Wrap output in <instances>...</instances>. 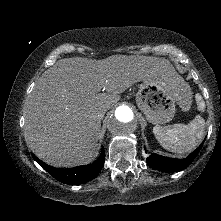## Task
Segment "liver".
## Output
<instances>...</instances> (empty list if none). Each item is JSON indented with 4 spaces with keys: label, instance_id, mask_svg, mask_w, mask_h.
<instances>
[{
    "label": "liver",
    "instance_id": "6515ba94",
    "mask_svg": "<svg viewBox=\"0 0 221 221\" xmlns=\"http://www.w3.org/2000/svg\"><path fill=\"white\" fill-rule=\"evenodd\" d=\"M174 74L168 60L141 55L58 60L41 75L25 102L26 143L49 165L87 164L98 147L97 113L111 109L134 83L167 80Z\"/></svg>",
    "mask_w": 221,
    "mask_h": 221
}]
</instances>
